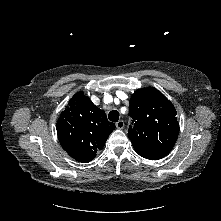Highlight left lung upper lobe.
Segmentation results:
<instances>
[{
    "label": "left lung upper lobe",
    "instance_id": "left-lung-upper-lobe-1",
    "mask_svg": "<svg viewBox=\"0 0 221 221\" xmlns=\"http://www.w3.org/2000/svg\"><path fill=\"white\" fill-rule=\"evenodd\" d=\"M132 126L128 135L135 151L142 157L158 160L175 145L179 134L176 109L156 88H142L130 98Z\"/></svg>",
    "mask_w": 221,
    "mask_h": 221
}]
</instances>
